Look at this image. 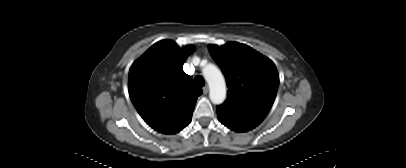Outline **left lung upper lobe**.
Returning <instances> with one entry per match:
<instances>
[{
    "mask_svg": "<svg viewBox=\"0 0 406 168\" xmlns=\"http://www.w3.org/2000/svg\"><path fill=\"white\" fill-rule=\"evenodd\" d=\"M209 51L221 68L228 87L227 99L217 109L262 122L274 103L279 85L274 63L237 42L222 47L209 45Z\"/></svg>",
    "mask_w": 406,
    "mask_h": 168,
    "instance_id": "5c2ea615",
    "label": "left lung upper lobe"
}]
</instances>
